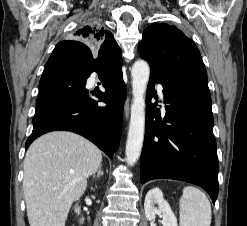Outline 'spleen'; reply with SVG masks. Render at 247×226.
Here are the masks:
<instances>
[{
  "mask_svg": "<svg viewBox=\"0 0 247 226\" xmlns=\"http://www.w3.org/2000/svg\"><path fill=\"white\" fill-rule=\"evenodd\" d=\"M180 226H210L211 205L199 189L187 186L180 198Z\"/></svg>",
  "mask_w": 247,
  "mask_h": 226,
  "instance_id": "spleen-1",
  "label": "spleen"
}]
</instances>
